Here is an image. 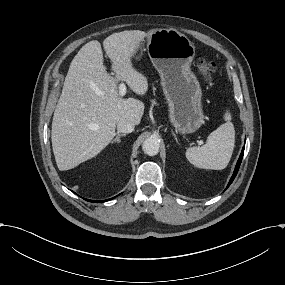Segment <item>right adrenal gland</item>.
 Returning a JSON list of instances; mask_svg holds the SVG:
<instances>
[{
	"instance_id": "right-adrenal-gland-1",
	"label": "right adrenal gland",
	"mask_w": 285,
	"mask_h": 285,
	"mask_svg": "<svg viewBox=\"0 0 285 285\" xmlns=\"http://www.w3.org/2000/svg\"><path fill=\"white\" fill-rule=\"evenodd\" d=\"M123 136H126V134H117L116 135V137L111 141V143L113 144V143H115V142H117V143H120L121 142V137H123Z\"/></svg>"
}]
</instances>
